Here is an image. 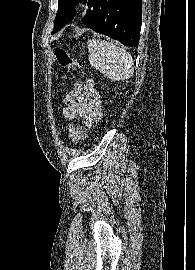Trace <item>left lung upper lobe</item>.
Wrapping results in <instances>:
<instances>
[{
  "label": "left lung upper lobe",
  "instance_id": "1",
  "mask_svg": "<svg viewBox=\"0 0 195 270\" xmlns=\"http://www.w3.org/2000/svg\"><path fill=\"white\" fill-rule=\"evenodd\" d=\"M86 3L87 0H58L59 8L55 18L52 34L59 31L67 22L72 20L75 15V7L79 2Z\"/></svg>",
  "mask_w": 195,
  "mask_h": 270
}]
</instances>
